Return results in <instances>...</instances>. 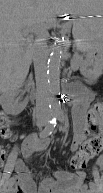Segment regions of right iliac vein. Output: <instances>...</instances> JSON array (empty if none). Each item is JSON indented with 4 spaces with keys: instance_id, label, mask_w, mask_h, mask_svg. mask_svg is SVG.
Wrapping results in <instances>:
<instances>
[{
    "instance_id": "obj_1",
    "label": "right iliac vein",
    "mask_w": 103,
    "mask_h": 193,
    "mask_svg": "<svg viewBox=\"0 0 103 193\" xmlns=\"http://www.w3.org/2000/svg\"><path fill=\"white\" fill-rule=\"evenodd\" d=\"M39 125H40V126H44L45 123H44V122H40Z\"/></svg>"
}]
</instances>
